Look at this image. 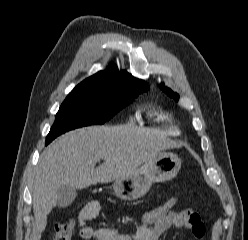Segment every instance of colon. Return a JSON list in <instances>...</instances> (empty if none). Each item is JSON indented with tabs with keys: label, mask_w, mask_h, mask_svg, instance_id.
Here are the masks:
<instances>
[{
	"label": "colon",
	"mask_w": 248,
	"mask_h": 240,
	"mask_svg": "<svg viewBox=\"0 0 248 240\" xmlns=\"http://www.w3.org/2000/svg\"><path fill=\"white\" fill-rule=\"evenodd\" d=\"M178 203L176 197L169 198L159 205L145 211L139 216L138 227L153 223L173 211ZM75 224L72 220L60 222L55 226L53 240H72Z\"/></svg>",
	"instance_id": "1"
}]
</instances>
